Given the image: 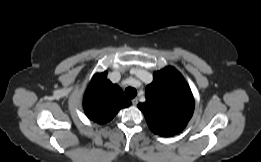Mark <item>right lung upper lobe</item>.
I'll list each match as a JSON object with an SVG mask.
<instances>
[{
  "label": "right lung upper lobe",
  "instance_id": "1",
  "mask_svg": "<svg viewBox=\"0 0 261 162\" xmlns=\"http://www.w3.org/2000/svg\"><path fill=\"white\" fill-rule=\"evenodd\" d=\"M130 105L131 102L124 97L122 89L107 79V72L94 75L83 101L87 117L99 124L109 122L121 108Z\"/></svg>",
  "mask_w": 261,
  "mask_h": 162
}]
</instances>
